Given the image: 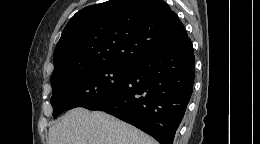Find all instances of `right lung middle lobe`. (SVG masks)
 <instances>
[{
  "mask_svg": "<svg viewBox=\"0 0 260 144\" xmlns=\"http://www.w3.org/2000/svg\"><path fill=\"white\" fill-rule=\"evenodd\" d=\"M129 67L97 65L51 77L53 117L75 107H88L117 92L126 82Z\"/></svg>",
  "mask_w": 260,
  "mask_h": 144,
  "instance_id": "obj_1",
  "label": "right lung middle lobe"
}]
</instances>
